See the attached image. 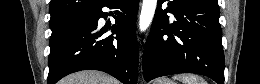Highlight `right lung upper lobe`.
Listing matches in <instances>:
<instances>
[{
  "label": "right lung upper lobe",
  "instance_id": "1",
  "mask_svg": "<svg viewBox=\"0 0 260 84\" xmlns=\"http://www.w3.org/2000/svg\"><path fill=\"white\" fill-rule=\"evenodd\" d=\"M104 0H51L50 28H56L94 12Z\"/></svg>",
  "mask_w": 260,
  "mask_h": 84
}]
</instances>
